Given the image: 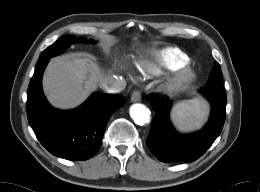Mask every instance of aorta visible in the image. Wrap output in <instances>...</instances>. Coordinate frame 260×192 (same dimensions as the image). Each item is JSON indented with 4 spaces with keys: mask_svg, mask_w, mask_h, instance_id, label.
<instances>
[{
    "mask_svg": "<svg viewBox=\"0 0 260 192\" xmlns=\"http://www.w3.org/2000/svg\"><path fill=\"white\" fill-rule=\"evenodd\" d=\"M130 116L138 125H144L150 121V112L143 104H133L130 107Z\"/></svg>",
    "mask_w": 260,
    "mask_h": 192,
    "instance_id": "aorta-1",
    "label": "aorta"
}]
</instances>
